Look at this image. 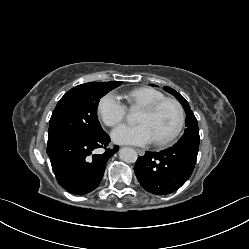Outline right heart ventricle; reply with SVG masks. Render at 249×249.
Instances as JSON below:
<instances>
[{
    "instance_id": "right-heart-ventricle-1",
    "label": "right heart ventricle",
    "mask_w": 249,
    "mask_h": 249,
    "mask_svg": "<svg viewBox=\"0 0 249 249\" xmlns=\"http://www.w3.org/2000/svg\"><path fill=\"white\" fill-rule=\"evenodd\" d=\"M123 97L130 107L141 108L146 104L164 98L165 95L151 87H138L125 92Z\"/></svg>"
}]
</instances>
